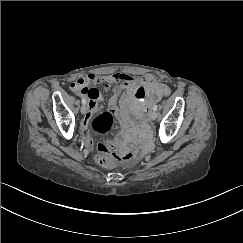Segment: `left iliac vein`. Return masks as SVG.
I'll return each instance as SVG.
<instances>
[{
    "mask_svg": "<svg viewBox=\"0 0 243 243\" xmlns=\"http://www.w3.org/2000/svg\"><path fill=\"white\" fill-rule=\"evenodd\" d=\"M158 113L156 111L151 112L150 119L155 120L157 118Z\"/></svg>",
    "mask_w": 243,
    "mask_h": 243,
    "instance_id": "left-iliac-vein-1",
    "label": "left iliac vein"
}]
</instances>
